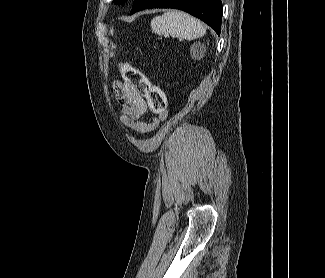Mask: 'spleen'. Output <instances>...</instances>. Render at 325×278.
<instances>
[{
  "label": "spleen",
  "instance_id": "3e777b00",
  "mask_svg": "<svg viewBox=\"0 0 325 278\" xmlns=\"http://www.w3.org/2000/svg\"><path fill=\"white\" fill-rule=\"evenodd\" d=\"M152 31L158 35L194 40L205 35L206 28L199 20L179 11H168L151 21Z\"/></svg>",
  "mask_w": 325,
  "mask_h": 278
}]
</instances>
